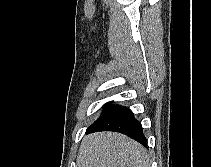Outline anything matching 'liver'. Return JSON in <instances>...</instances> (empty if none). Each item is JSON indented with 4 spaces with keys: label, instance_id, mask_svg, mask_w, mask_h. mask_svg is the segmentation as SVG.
Wrapping results in <instances>:
<instances>
[{
    "label": "liver",
    "instance_id": "liver-1",
    "mask_svg": "<svg viewBox=\"0 0 211 167\" xmlns=\"http://www.w3.org/2000/svg\"><path fill=\"white\" fill-rule=\"evenodd\" d=\"M77 167H150V157L138 142L115 132L84 137Z\"/></svg>",
    "mask_w": 211,
    "mask_h": 167
}]
</instances>
